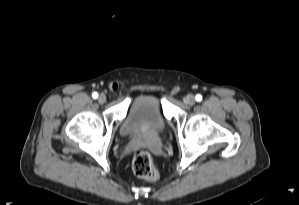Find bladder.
Segmentation results:
<instances>
[{
	"mask_svg": "<svg viewBox=\"0 0 299 205\" xmlns=\"http://www.w3.org/2000/svg\"><path fill=\"white\" fill-rule=\"evenodd\" d=\"M167 125L158 99L141 95L130 105L120 132L124 137L152 136L165 133Z\"/></svg>",
	"mask_w": 299,
	"mask_h": 205,
	"instance_id": "obj_1",
	"label": "bladder"
}]
</instances>
